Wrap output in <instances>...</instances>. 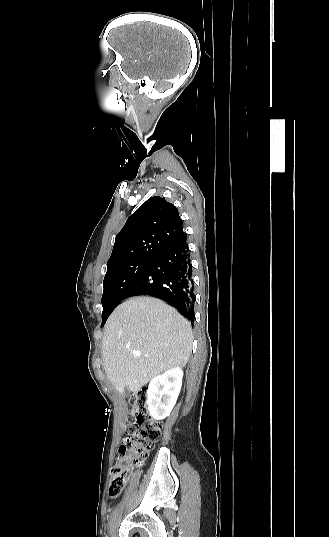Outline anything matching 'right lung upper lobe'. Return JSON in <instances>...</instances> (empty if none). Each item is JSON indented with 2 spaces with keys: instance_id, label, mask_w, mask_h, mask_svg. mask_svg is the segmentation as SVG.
<instances>
[{
  "instance_id": "cb5924a9",
  "label": "right lung upper lobe",
  "mask_w": 329,
  "mask_h": 537,
  "mask_svg": "<svg viewBox=\"0 0 329 537\" xmlns=\"http://www.w3.org/2000/svg\"><path fill=\"white\" fill-rule=\"evenodd\" d=\"M186 234L177 208L159 196L145 201L116 235L107 270L139 259H154Z\"/></svg>"
}]
</instances>
